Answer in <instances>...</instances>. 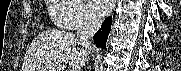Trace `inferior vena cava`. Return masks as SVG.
<instances>
[{"mask_svg":"<svg viewBox=\"0 0 181 71\" xmlns=\"http://www.w3.org/2000/svg\"><path fill=\"white\" fill-rule=\"evenodd\" d=\"M101 26V20L91 14L83 17L77 28V40L85 48L90 50V39L98 31Z\"/></svg>","mask_w":181,"mask_h":71,"instance_id":"1","label":"inferior vena cava"}]
</instances>
